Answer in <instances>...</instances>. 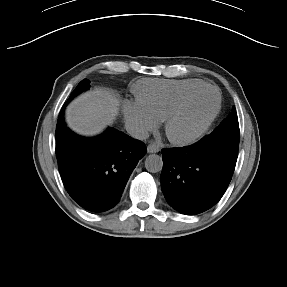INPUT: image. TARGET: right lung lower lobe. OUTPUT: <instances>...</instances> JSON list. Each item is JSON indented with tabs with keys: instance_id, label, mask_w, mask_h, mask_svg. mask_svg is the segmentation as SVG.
I'll use <instances>...</instances> for the list:
<instances>
[{
	"instance_id": "1",
	"label": "right lung lower lobe",
	"mask_w": 287,
	"mask_h": 287,
	"mask_svg": "<svg viewBox=\"0 0 287 287\" xmlns=\"http://www.w3.org/2000/svg\"><path fill=\"white\" fill-rule=\"evenodd\" d=\"M143 142L108 128L85 138L64 127L58 134L56 156L63 184L81 207L103 212L113 208L146 153Z\"/></svg>"
}]
</instances>
